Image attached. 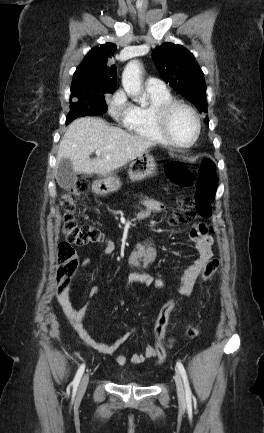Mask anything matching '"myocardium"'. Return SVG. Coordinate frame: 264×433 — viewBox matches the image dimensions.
<instances>
[{"label": "myocardium", "instance_id": "1", "mask_svg": "<svg viewBox=\"0 0 264 433\" xmlns=\"http://www.w3.org/2000/svg\"><path fill=\"white\" fill-rule=\"evenodd\" d=\"M186 109L191 113V115L194 118L195 124H196V130L193 138L190 142L186 144H180L177 141L174 140V138L171 136L170 130H169V123L172 114L177 109ZM155 118L156 122L159 128L160 133L162 134L163 138L167 142L168 145L176 147V148H189L193 146L199 139L202 129L201 119L198 114V112L195 110L194 107L187 104L186 102L180 101V100H172L168 103H165L155 110Z\"/></svg>", "mask_w": 264, "mask_h": 433}]
</instances>
